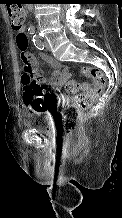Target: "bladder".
<instances>
[{
  "label": "bladder",
  "mask_w": 122,
  "mask_h": 218,
  "mask_svg": "<svg viewBox=\"0 0 122 218\" xmlns=\"http://www.w3.org/2000/svg\"><path fill=\"white\" fill-rule=\"evenodd\" d=\"M24 126L38 132H46L49 129V121L42 112H29L24 115Z\"/></svg>",
  "instance_id": "obj_1"
}]
</instances>
